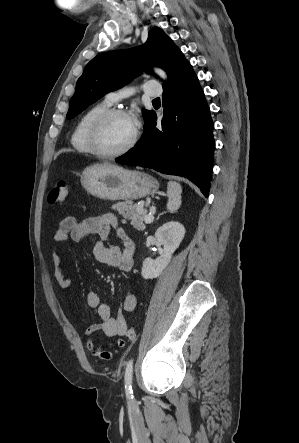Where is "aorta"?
<instances>
[{
	"mask_svg": "<svg viewBox=\"0 0 299 443\" xmlns=\"http://www.w3.org/2000/svg\"><path fill=\"white\" fill-rule=\"evenodd\" d=\"M155 73H157L162 79H167L165 72L159 68L154 69Z\"/></svg>",
	"mask_w": 299,
	"mask_h": 443,
	"instance_id": "obj_1",
	"label": "aorta"
}]
</instances>
